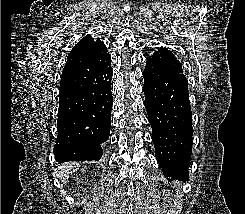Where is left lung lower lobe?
<instances>
[{
    "instance_id": "0a47b994",
    "label": "left lung lower lobe",
    "mask_w": 245,
    "mask_h": 214,
    "mask_svg": "<svg viewBox=\"0 0 245 214\" xmlns=\"http://www.w3.org/2000/svg\"><path fill=\"white\" fill-rule=\"evenodd\" d=\"M143 77L157 162L168 180L188 181L193 128L187 79L155 65H146Z\"/></svg>"
}]
</instances>
